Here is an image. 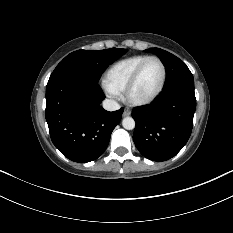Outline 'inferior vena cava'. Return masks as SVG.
Returning a JSON list of instances; mask_svg holds the SVG:
<instances>
[{"label":"inferior vena cava","instance_id":"obj_1","mask_svg":"<svg viewBox=\"0 0 233 233\" xmlns=\"http://www.w3.org/2000/svg\"><path fill=\"white\" fill-rule=\"evenodd\" d=\"M103 108L107 111H116L120 109V105L114 100L105 99L103 101Z\"/></svg>","mask_w":233,"mask_h":233}]
</instances>
